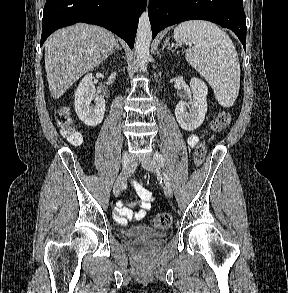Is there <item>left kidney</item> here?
Wrapping results in <instances>:
<instances>
[{"label": "left kidney", "instance_id": "5707ae66", "mask_svg": "<svg viewBox=\"0 0 288 293\" xmlns=\"http://www.w3.org/2000/svg\"><path fill=\"white\" fill-rule=\"evenodd\" d=\"M190 88L193 98L188 103L179 101L175 108L176 119L180 127L186 131H193L200 127L207 112V85L198 78H192Z\"/></svg>", "mask_w": 288, "mask_h": 293}]
</instances>
